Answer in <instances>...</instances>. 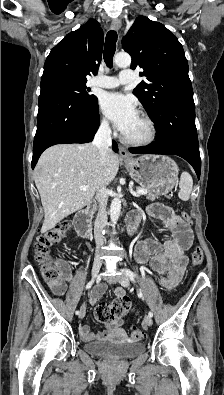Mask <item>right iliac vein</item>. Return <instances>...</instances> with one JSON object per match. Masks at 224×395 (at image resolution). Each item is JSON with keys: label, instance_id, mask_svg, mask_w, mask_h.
<instances>
[{"label": "right iliac vein", "instance_id": "right-iliac-vein-1", "mask_svg": "<svg viewBox=\"0 0 224 395\" xmlns=\"http://www.w3.org/2000/svg\"><path fill=\"white\" fill-rule=\"evenodd\" d=\"M101 265H102L101 257L100 256H96L94 258V262H93V266H92V278L93 279L99 273ZM84 316H85V305L82 306L79 317L83 318Z\"/></svg>", "mask_w": 224, "mask_h": 395}]
</instances>
